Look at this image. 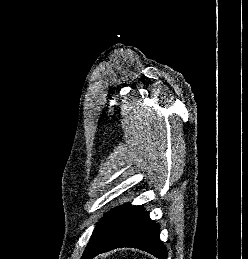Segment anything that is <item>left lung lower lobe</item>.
I'll return each instance as SVG.
<instances>
[{
  "instance_id": "0a47b994",
  "label": "left lung lower lobe",
  "mask_w": 248,
  "mask_h": 259,
  "mask_svg": "<svg viewBox=\"0 0 248 259\" xmlns=\"http://www.w3.org/2000/svg\"><path fill=\"white\" fill-rule=\"evenodd\" d=\"M159 232V225L150 220L143 207L127 205L97 229L81 259H92L101 252L121 247L138 248L159 259H167Z\"/></svg>"
}]
</instances>
